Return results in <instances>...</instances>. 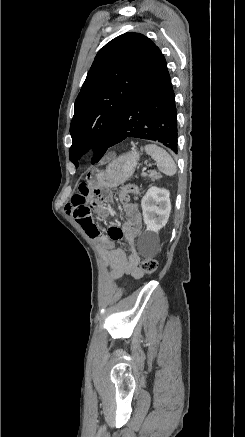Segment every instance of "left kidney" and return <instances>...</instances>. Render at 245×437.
Returning a JSON list of instances; mask_svg holds the SVG:
<instances>
[{
  "mask_svg": "<svg viewBox=\"0 0 245 437\" xmlns=\"http://www.w3.org/2000/svg\"><path fill=\"white\" fill-rule=\"evenodd\" d=\"M143 220L149 235L156 234L163 228L171 212L170 193L166 189L152 186L142 198Z\"/></svg>",
  "mask_w": 245,
  "mask_h": 437,
  "instance_id": "5707ae66",
  "label": "left kidney"
}]
</instances>
